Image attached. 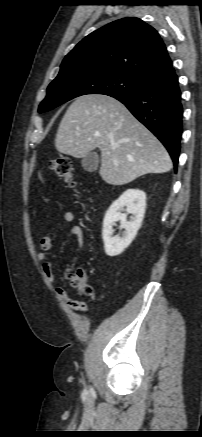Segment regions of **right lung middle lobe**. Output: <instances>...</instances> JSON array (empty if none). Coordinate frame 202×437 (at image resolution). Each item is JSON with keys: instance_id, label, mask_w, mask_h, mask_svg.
I'll return each instance as SVG.
<instances>
[{"instance_id": "1", "label": "right lung middle lobe", "mask_w": 202, "mask_h": 437, "mask_svg": "<svg viewBox=\"0 0 202 437\" xmlns=\"http://www.w3.org/2000/svg\"><path fill=\"white\" fill-rule=\"evenodd\" d=\"M145 81L132 76L110 71L93 72L72 70L57 76L47 89L38 112L49 111L75 97L86 94H115L134 92Z\"/></svg>"}]
</instances>
